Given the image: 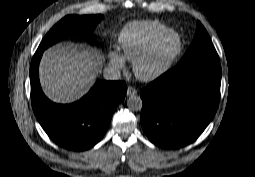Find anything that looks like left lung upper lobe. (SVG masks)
Segmentation results:
<instances>
[{
    "mask_svg": "<svg viewBox=\"0 0 255 177\" xmlns=\"http://www.w3.org/2000/svg\"><path fill=\"white\" fill-rule=\"evenodd\" d=\"M207 57H218V54L207 31L203 25L198 22L194 40L179 63L191 59Z\"/></svg>",
    "mask_w": 255,
    "mask_h": 177,
    "instance_id": "1",
    "label": "left lung upper lobe"
}]
</instances>
